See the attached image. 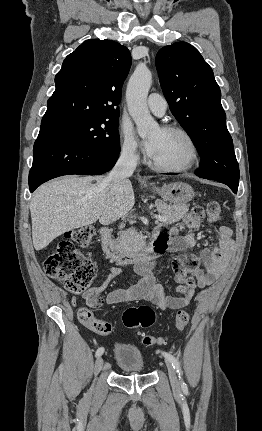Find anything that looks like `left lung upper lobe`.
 <instances>
[{
    "mask_svg": "<svg viewBox=\"0 0 262 431\" xmlns=\"http://www.w3.org/2000/svg\"><path fill=\"white\" fill-rule=\"evenodd\" d=\"M156 68L172 114L200 153L196 174L238 186L239 165L211 67L195 47L176 42L158 51Z\"/></svg>",
    "mask_w": 262,
    "mask_h": 431,
    "instance_id": "1",
    "label": "left lung upper lobe"
}]
</instances>
